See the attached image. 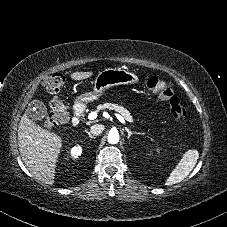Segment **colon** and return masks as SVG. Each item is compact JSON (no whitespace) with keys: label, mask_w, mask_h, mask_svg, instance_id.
I'll use <instances>...</instances> for the list:
<instances>
[{"label":"colon","mask_w":227,"mask_h":227,"mask_svg":"<svg viewBox=\"0 0 227 227\" xmlns=\"http://www.w3.org/2000/svg\"><path fill=\"white\" fill-rule=\"evenodd\" d=\"M65 84V77L61 73L50 75L44 86L53 97L50 101V113L45 121L46 127L56 129L68 121V111L66 105L58 98V93ZM142 84L152 93L158 95L163 100H169L170 113L176 120H183L186 117L184 104L174 94V85L158 76H146Z\"/></svg>","instance_id":"5ec220e1"}]
</instances>
